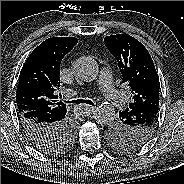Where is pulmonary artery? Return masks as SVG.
Here are the masks:
<instances>
[{"mask_svg":"<svg viewBox=\"0 0 184 184\" xmlns=\"http://www.w3.org/2000/svg\"><path fill=\"white\" fill-rule=\"evenodd\" d=\"M99 84L103 92L104 97L114 107H124L126 100L124 94L118 91L113 84L112 74L109 69L103 68L99 75ZM74 91H69L68 95L73 96Z\"/></svg>","mask_w":184,"mask_h":184,"instance_id":"obj_1","label":"pulmonary artery"}]
</instances>
